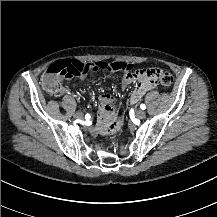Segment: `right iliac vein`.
<instances>
[{
    "mask_svg": "<svg viewBox=\"0 0 217 217\" xmlns=\"http://www.w3.org/2000/svg\"><path fill=\"white\" fill-rule=\"evenodd\" d=\"M74 117H75L76 119H83V118H84V115H83L82 112H76L75 115H74Z\"/></svg>",
    "mask_w": 217,
    "mask_h": 217,
    "instance_id": "obj_1",
    "label": "right iliac vein"
}]
</instances>
